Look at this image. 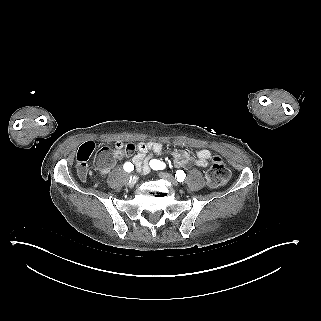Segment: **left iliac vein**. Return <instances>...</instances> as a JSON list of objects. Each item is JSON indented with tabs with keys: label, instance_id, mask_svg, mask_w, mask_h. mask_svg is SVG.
<instances>
[{
	"label": "left iliac vein",
	"instance_id": "left-iliac-vein-1",
	"mask_svg": "<svg viewBox=\"0 0 321 321\" xmlns=\"http://www.w3.org/2000/svg\"><path fill=\"white\" fill-rule=\"evenodd\" d=\"M159 177L162 178V179H165L167 181H169L172 185L174 186H177L178 185V182L176 180V178H174V176H172L171 174L169 173H166V172H160L159 173Z\"/></svg>",
	"mask_w": 321,
	"mask_h": 321
}]
</instances>
